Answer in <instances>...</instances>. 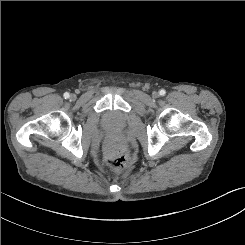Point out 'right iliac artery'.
<instances>
[{"label":"right iliac artery","mask_w":245,"mask_h":245,"mask_svg":"<svg viewBox=\"0 0 245 245\" xmlns=\"http://www.w3.org/2000/svg\"><path fill=\"white\" fill-rule=\"evenodd\" d=\"M63 96H64V98H65V99H67V98H69V97H70V95H69V93H68V92L64 93V95H63Z\"/></svg>","instance_id":"obj_1"}]
</instances>
